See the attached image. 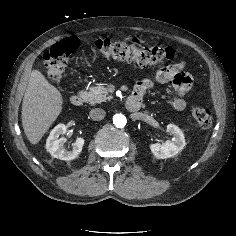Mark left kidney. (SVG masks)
<instances>
[{"label": "left kidney", "mask_w": 236, "mask_h": 236, "mask_svg": "<svg viewBox=\"0 0 236 236\" xmlns=\"http://www.w3.org/2000/svg\"><path fill=\"white\" fill-rule=\"evenodd\" d=\"M167 132L173 136L171 141L167 140L162 145L159 143L150 144L151 152L156 158L166 159L174 157L186 145L184 134L178 126L174 124H168Z\"/></svg>", "instance_id": "5707ae66"}]
</instances>
